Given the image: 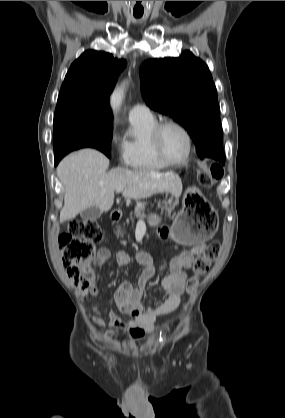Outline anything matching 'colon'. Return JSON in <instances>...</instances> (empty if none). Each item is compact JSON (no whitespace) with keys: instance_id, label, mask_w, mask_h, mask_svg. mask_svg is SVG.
Here are the masks:
<instances>
[{"instance_id":"1","label":"colon","mask_w":285,"mask_h":418,"mask_svg":"<svg viewBox=\"0 0 285 418\" xmlns=\"http://www.w3.org/2000/svg\"><path fill=\"white\" fill-rule=\"evenodd\" d=\"M222 175L223 169L220 166H205L201 169L198 180L201 185L208 187ZM101 239L102 231L96 222H85L80 219L71 220L68 230L59 236L64 268L74 284L82 290L91 287L88 260L96 254L97 243ZM220 248V243L214 241L207 244L197 255L193 263V275L187 282L190 290L195 288L198 276L218 258Z\"/></svg>"}]
</instances>
